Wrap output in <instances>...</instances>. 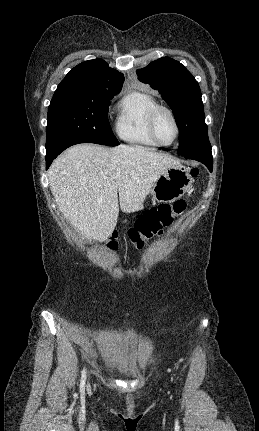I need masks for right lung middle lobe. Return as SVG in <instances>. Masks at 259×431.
Listing matches in <instances>:
<instances>
[{
    "label": "right lung middle lobe",
    "instance_id": "1",
    "mask_svg": "<svg viewBox=\"0 0 259 431\" xmlns=\"http://www.w3.org/2000/svg\"><path fill=\"white\" fill-rule=\"evenodd\" d=\"M117 93L87 95L55 92L48 107L46 147L64 139L119 145L107 118L110 100Z\"/></svg>",
    "mask_w": 259,
    "mask_h": 431
}]
</instances>
